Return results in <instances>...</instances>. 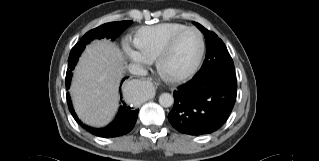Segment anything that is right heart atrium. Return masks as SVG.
<instances>
[{"label":"right heart atrium","mask_w":319,"mask_h":161,"mask_svg":"<svg viewBox=\"0 0 319 161\" xmlns=\"http://www.w3.org/2000/svg\"><path fill=\"white\" fill-rule=\"evenodd\" d=\"M126 56L129 58V60L139 63H147L148 60L142 57L138 51L126 48L125 49Z\"/></svg>","instance_id":"1"}]
</instances>
